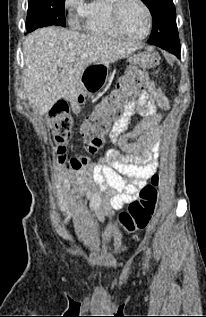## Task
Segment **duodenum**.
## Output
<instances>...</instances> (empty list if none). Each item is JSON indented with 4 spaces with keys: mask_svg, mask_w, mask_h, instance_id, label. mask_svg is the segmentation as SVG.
<instances>
[{
    "mask_svg": "<svg viewBox=\"0 0 206 317\" xmlns=\"http://www.w3.org/2000/svg\"><path fill=\"white\" fill-rule=\"evenodd\" d=\"M72 105H73V109L75 111H78L80 109L81 102L80 100H73Z\"/></svg>",
    "mask_w": 206,
    "mask_h": 317,
    "instance_id": "410a0bca",
    "label": "duodenum"
}]
</instances>
